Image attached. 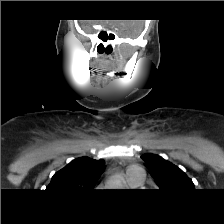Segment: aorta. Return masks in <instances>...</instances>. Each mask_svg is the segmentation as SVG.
<instances>
[{"label": "aorta", "mask_w": 224, "mask_h": 224, "mask_svg": "<svg viewBox=\"0 0 224 224\" xmlns=\"http://www.w3.org/2000/svg\"><path fill=\"white\" fill-rule=\"evenodd\" d=\"M110 187H113V188H122L123 187V184H122V181H121V178L116 176L112 179L111 183H110Z\"/></svg>", "instance_id": "aorta-1"}]
</instances>
